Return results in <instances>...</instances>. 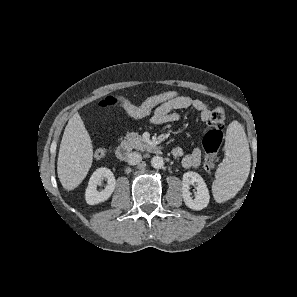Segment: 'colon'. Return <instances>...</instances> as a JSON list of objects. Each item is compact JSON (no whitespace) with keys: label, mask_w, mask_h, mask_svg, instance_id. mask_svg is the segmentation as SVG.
Wrapping results in <instances>:
<instances>
[{"label":"colon","mask_w":297,"mask_h":297,"mask_svg":"<svg viewBox=\"0 0 297 297\" xmlns=\"http://www.w3.org/2000/svg\"><path fill=\"white\" fill-rule=\"evenodd\" d=\"M179 96L176 91H167L147 98L141 105L142 110H150L157 105L164 103L166 101L173 100ZM129 101L121 96H108L101 100L98 104L99 108L102 110H113L116 106L122 105ZM135 112V111H134ZM226 112L221 106L214 108L209 115L208 125L212 128L203 138V147L205 151L204 156V169L208 174H212L215 168V161L220 149L223 135L220 129L225 124ZM106 155V150L104 148L96 149L94 156L96 158H103Z\"/></svg>","instance_id":"1"}]
</instances>
